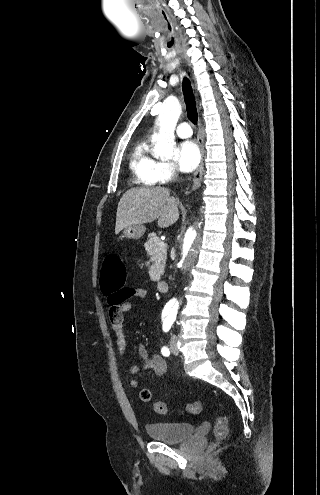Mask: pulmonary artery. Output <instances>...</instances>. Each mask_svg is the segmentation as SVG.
I'll return each mask as SVG.
<instances>
[{"instance_id":"1","label":"pulmonary artery","mask_w":320,"mask_h":495,"mask_svg":"<svg viewBox=\"0 0 320 495\" xmlns=\"http://www.w3.org/2000/svg\"><path fill=\"white\" fill-rule=\"evenodd\" d=\"M176 133L181 138H188L192 135V129L187 122H182L177 126Z\"/></svg>"}]
</instances>
